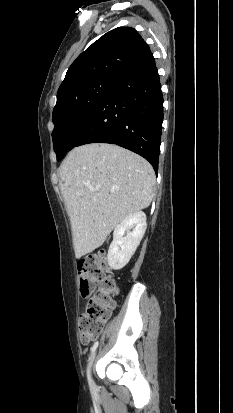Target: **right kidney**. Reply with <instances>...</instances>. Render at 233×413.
<instances>
[{
  "label": "right kidney",
  "mask_w": 233,
  "mask_h": 413,
  "mask_svg": "<svg viewBox=\"0 0 233 413\" xmlns=\"http://www.w3.org/2000/svg\"><path fill=\"white\" fill-rule=\"evenodd\" d=\"M146 227V214L142 211L131 214L115 227L107 255L112 269L119 270L129 262L144 236ZM131 229L133 230L130 231Z\"/></svg>",
  "instance_id": "right-kidney-1"
}]
</instances>
